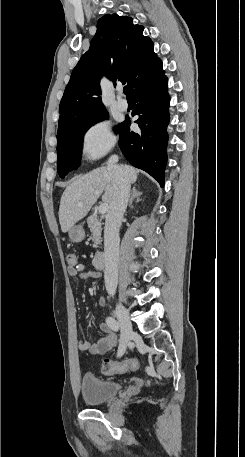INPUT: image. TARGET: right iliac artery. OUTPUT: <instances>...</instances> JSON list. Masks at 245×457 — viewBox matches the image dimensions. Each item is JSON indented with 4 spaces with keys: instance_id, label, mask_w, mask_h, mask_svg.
Returning a JSON list of instances; mask_svg holds the SVG:
<instances>
[{
    "instance_id": "obj_1",
    "label": "right iliac artery",
    "mask_w": 245,
    "mask_h": 457,
    "mask_svg": "<svg viewBox=\"0 0 245 457\" xmlns=\"http://www.w3.org/2000/svg\"><path fill=\"white\" fill-rule=\"evenodd\" d=\"M107 325L114 331L118 332L119 331V323L117 320L113 317H107L106 319Z\"/></svg>"
}]
</instances>
